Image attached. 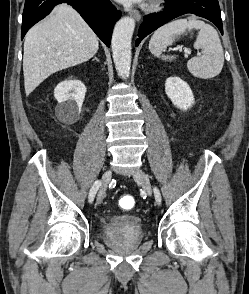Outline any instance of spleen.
Instances as JSON below:
<instances>
[{"mask_svg":"<svg viewBox=\"0 0 249 294\" xmlns=\"http://www.w3.org/2000/svg\"><path fill=\"white\" fill-rule=\"evenodd\" d=\"M198 30L194 47L202 50V55L193 57L187 62L189 72L201 79H211L219 75L224 64V52L217 31L209 24L197 20L175 19L159 29L152 35L149 42L150 52L163 60L175 59V56L163 55L164 49L172 45L173 41L183 34Z\"/></svg>","mask_w":249,"mask_h":294,"instance_id":"spleen-1","label":"spleen"}]
</instances>
